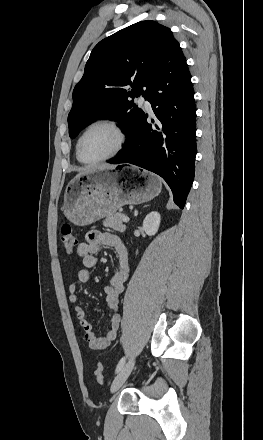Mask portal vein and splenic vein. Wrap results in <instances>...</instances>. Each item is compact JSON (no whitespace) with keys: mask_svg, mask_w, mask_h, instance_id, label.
Listing matches in <instances>:
<instances>
[{"mask_svg":"<svg viewBox=\"0 0 263 440\" xmlns=\"http://www.w3.org/2000/svg\"><path fill=\"white\" fill-rule=\"evenodd\" d=\"M129 220H130V219H129V217H128V216H124V217H123V221H124V222H126V223H127V222H129Z\"/></svg>","mask_w":263,"mask_h":440,"instance_id":"portal-vein-and-splenic-vein-1","label":"portal vein and splenic vein"}]
</instances>
